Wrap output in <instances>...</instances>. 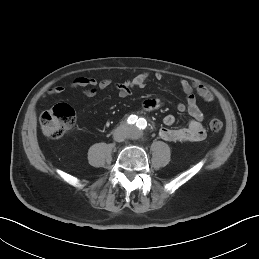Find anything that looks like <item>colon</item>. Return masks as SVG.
<instances>
[{
	"label": "colon",
	"instance_id": "1",
	"mask_svg": "<svg viewBox=\"0 0 259 259\" xmlns=\"http://www.w3.org/2000/svg\"><path fill=\"white\" fill-rule=\"evenodd\" d=\"M75 121L74 109L65 103L57 104L52 109L43 112L39 119L42 133L53 139L62 137L75 125ZM222 128L223 124L218 119H212L209 122L211 132H219Z\"/></svg>",
	"mask_w": 259,
	"mask_h": 259
}]
</instances>
